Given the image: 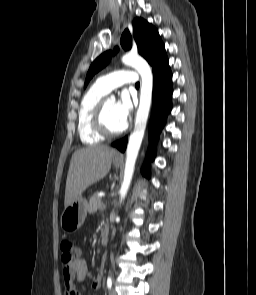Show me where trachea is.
<instances>
[{
  "instance_id": "1",
  "label": "trachea",
  "mask_w": 256,
  "mask_h": 295,
  "mask_svg": "<svg viewBox=\"0 0 256 295\" xmlns=\"http://www.w3.org/2000/svg\"><path fill=\"white\" fill-rule=\"evenodd\" d=\"M139 85H140L139 82H137V83L135 84L136 87H139Z\"/></svg>"
}]
</instances>
